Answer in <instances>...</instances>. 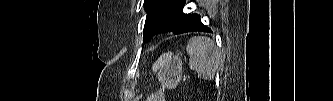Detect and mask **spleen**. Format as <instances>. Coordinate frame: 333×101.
Wrapping results in <instances>:
<instances>
[{
  "label": "spleen",
  "mask_w": 333,
  "mask_h": 101,
  "mask_svg": "<svg viewBox=\"0 0 333 101\" xmlns=\"http://www.w3.org/2000/svg\"><path fill=\"white\" fill-rule=\"evenodd\" d=\"M186 50L190 55V69L196 70L198 78L213 79L221 59V53L214 41L208 37H191Z\"/></svg>",
  "instance_id": "1"
}]
</instances>
